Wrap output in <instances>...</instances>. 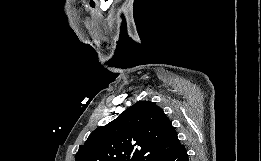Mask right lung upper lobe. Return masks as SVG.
Segmentation results:
<instances>
[{
  "label": "right lung upper lobe",
  "instance_id": "right-lung-upper-lobe-1",
  "mask_svg": "<svg viewBox=\"0 0 261 161\" xmlns=\"http://www.w3.org/2000/svg\"><path fill=\"white\" fill-rule=\"evenodd\" d=\"M179 145L163 110L153 102L139 101L95 129L80 145L75 161H149Z\"/></svg>",
  "mask_w": 261,
  "mask_h": 161
}]
</instances>
